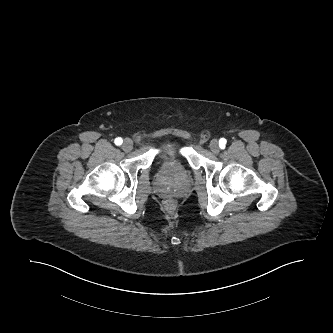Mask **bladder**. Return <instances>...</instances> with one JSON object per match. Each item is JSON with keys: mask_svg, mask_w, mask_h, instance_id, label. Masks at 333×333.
<instances>
[{"mask_svg": "<svg viewBox=\"0 0 333 333\" xmlns=\"http://www.w3.org/2000/svg\"><path fill=\"white\" fill-rule=\"evenodd\" d=\"M179 148H180V145L177 142L166 141L160 147V149H161L160 156L164 159H169L177 153Z\"/></svg>", "mask_w": 333, "mask_h": 333, "instance_id": "obj_1", "label": "bladder"}]
</instances>
